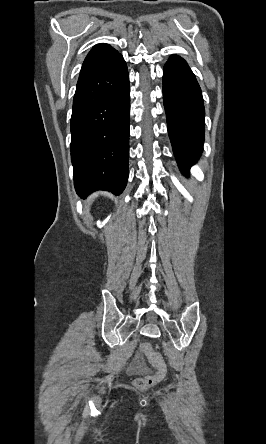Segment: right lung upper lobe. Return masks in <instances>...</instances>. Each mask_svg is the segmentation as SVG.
<instances>
[{"instance_id":"1","label":"right lung upper lobe","mask_w":266,"mask_h":444,"mask_svg":"<svg viewBox=\"0 0 266 444\" xmlns=\"http://www.w3.org/2000/svg\"><path fill=\"white\" fill-rule=\"evenodd\" d=\"M119 55L120 54L116 49L107 44L101 43L95 45L83 62L77 87L103 72L118 58Z\"/></svg>"}]
</instances>
